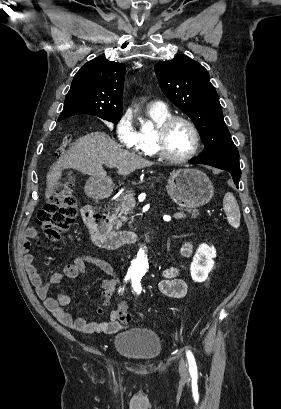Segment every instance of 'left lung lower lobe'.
Listing matches in <instances>:
<instances>
[{"label": "left lung lower lobe", "instance_id": "obj_1", "mask_svg": "<svg viewBox=\"0 0 281 409\" xmlns=\"http://www.w3.org/2000/svg\"><path fill=\"white\" fill-rule=\"evenodd\" d=\"M192 163L211 165L213 167L229 171L232 175L234 183L238 187L239 179L241 176L240 164L238 159L217 158L201 160L196 158L192 160Z\"/></svg>", "mask_w": 281, "mask_h": 409}]
</instances>
